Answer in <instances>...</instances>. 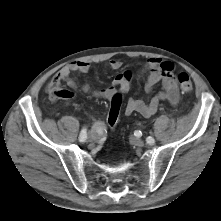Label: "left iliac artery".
<instances>
[{
	"label": "left iliac artery",
	"instance_id": "obj_1",
	"mask_svg": "<svg viewBox=\"0 0 221 221\" xmlns=\"http://www.w3.org/2000/svg\"><path fill=\"white\" fill-rule=\"evenodd\" d=\"M146 141H147V143L150 144V145L153 144V138L150 137V136L147 137Z\"/></svg>",
	"mask_w": 221,
	"mask_h": 221
}]
</instances>
